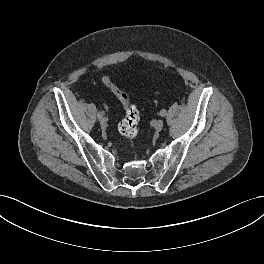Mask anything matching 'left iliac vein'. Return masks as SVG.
<instances>
[{
  "label": "left iliac vein",
  "mask_w": 264,
  "mask_h": 264,
  "mask_svg": "<svg viewBox=\"0 0 264 264\" xmlns=\"http://www.w3.org/2000/svg\"><path fill=\"white\" fill-rule=\"evenodd\" d=\"M163 124H164L163 120H161V119L157 120L156 123H155V130L157 132L161 131L162 128H163Z\"/></svg>",
  "instance_id": "1"
}]
</instances>
